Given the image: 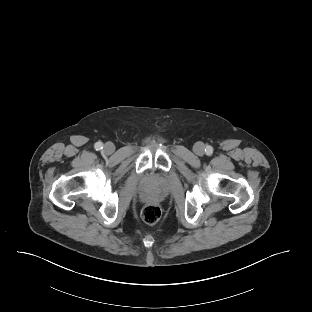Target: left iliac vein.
<instances>
[{
  "label": "left iliac vein",
  "mask_w": 312,
  "mask_h": 312,
  "mask_svg": "<svg viewBox=\"0 0 312 312\" xmlns=\"http://www.w3.org/2000/svg\"><path fill=\"white\" fill-rule=\"evenodd\" d=\"M204 149L205 146L202 142H197L193 147L194 153L198 156H202L204 154Z\"/></svg>",
  "instance_id": "left-iliac-vein-1"
}]
</instances>
